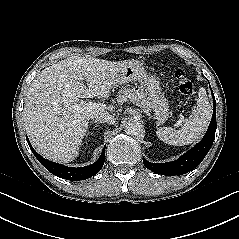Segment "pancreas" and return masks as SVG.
I'll return each mask as SVG.
<instances>
[{"label":"pancreas","mask_w":239,"mask_h":239,"mask_svg":"<svg viewBox=\"0 0 239 239\" xmlns=\"http://www.w3.org/2000/svg\"><path fill=\"white\" fill-rule=\"evenodd\" d=\"M130 100L137 106L147 109L148 108V101L145 98L144 93L139 92L136 90L134 87H123L119 90L118 95H117V102L119 104Z\"/></svg>","instance_id":"pancreas-1"}]
</instances>
